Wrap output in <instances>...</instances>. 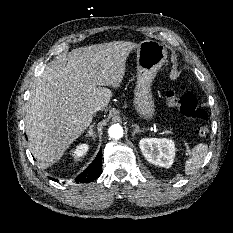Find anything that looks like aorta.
<instances>
[{
    "instance_id": "1",
    "label": "aorta",
    "mask_w": 233,
    "mask_h": 233,
    "mask_svg": "<svg viewBox=\"0 0 233 233\" xmlns=\"http://www.w3.org/2000/svg\"><path fill=\"white\" fill-rule=\"evenodd\" d=\"M109 136L113 139H120L123 136V128L119 124H114L109 127Z\"/></svg>"
}]
</instances>
